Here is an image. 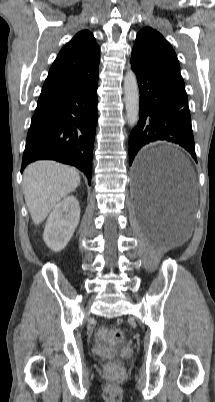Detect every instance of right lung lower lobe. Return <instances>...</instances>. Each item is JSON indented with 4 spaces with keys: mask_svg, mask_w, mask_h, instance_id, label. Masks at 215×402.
Masks as SVG:
<instances>
[{
    "mask_svg": "<svg viewBox=\"0 0 215 402\" xmlns=\"http://www.w3.org/2000/svg\"><path fill=\"white\" fill-rule=\"evenodd\" d=\"M97 88L98 76L35 111L21 171L33 161L51 159L73 165L91 179L98 118Z\"/></svg>",
    "mask_w": 215,
    "mask_h": 402,
    "instance_id": "obj_1",
    "label": "right lung lower lobe"
}]
</instances>
